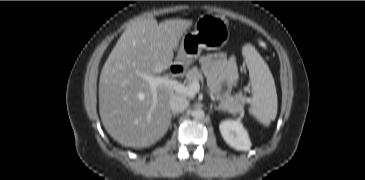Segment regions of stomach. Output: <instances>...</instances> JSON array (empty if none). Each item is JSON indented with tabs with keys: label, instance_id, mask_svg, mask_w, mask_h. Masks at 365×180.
<instances>
[{
	"label": "stomach",
	"instance_id": "0dacf381",
	"mask_svg": "<svg viewBox=\"0 0 365 180\" xmlns=\"http://www.w3.org/2000/svg\"><path fill=\"white\" fill-rule=\"evenodd\" d=\"M228 23L216 16H201L194 31L186 32L176 55V64L189 65L196 60L203 49L218 50L229 40Z\"/></svg>",
	"mask_w": 365,
	"mask_h": 180
}]
</instances>
